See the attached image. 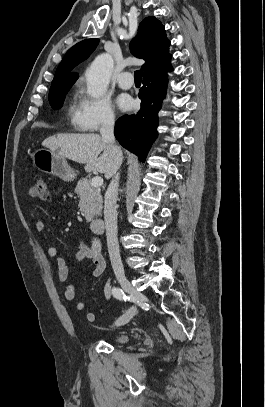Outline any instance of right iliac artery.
<instances>
[{"instance_id": "82829eb1", "label": "right iliac artery", "mask_w": 265, "mask_h": 407, "mask_svg": "<svg viewBox=\"0 0 265 407\" xmlns=\"http://www.w3.org/2000/svg\"><path fill=\"white\" fill-rule=\"evenodd\" d=\"M112 294L118 300H124L125 301L127 299L124 291L122 289L118 288V287H114L112 289Z\"/></svg>"}]
</instances>
